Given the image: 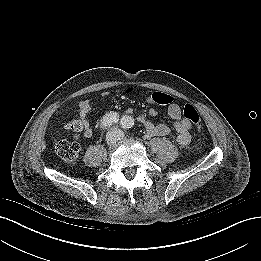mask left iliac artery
Wrapping results in <instances>:
<instances>
[{
    "instance_id": "1",
    "label": "left iliac artery",
    "mask_w": 261,
    "mask_h": 261,
    "mask_svg": "<svg viewBox=\"0 0 261 261\" xmlns=\"http://www.w3.org/2000/svg\"><path fill=\"white\" fill-rule=\"evenodd\" d=\"M120 125L124 129H129V128L133 127L134 120L129 116H123V118L120 121Z\"/></svg>"
}]
</instances>
